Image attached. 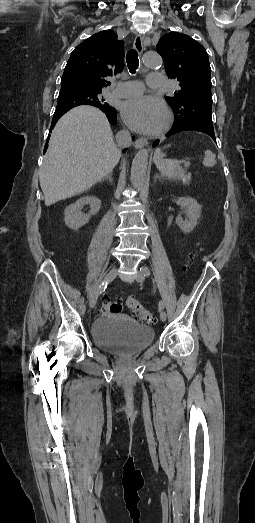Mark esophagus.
Listing matches in <instances>:
<instances>
[{
  "mask_svg": "<svg viewBox=\"0 0 255 523\" xmlns=\"http://www.w3.org/2000/svg\"><path fill=\"white\" fill-rule=\"evenodd\" d=\"M133 46H134V49L139 54H142L144 47H143V39H142L141 35H136ZM147 144H148V140H146V138H138L135 142V147L142 148L143 146H145Z\"/></svg>",
  "mask_w": 255,
  "mask_h": 523,
  "instance_id": "1",
  "label": "esophagus"
}]
</instances>
